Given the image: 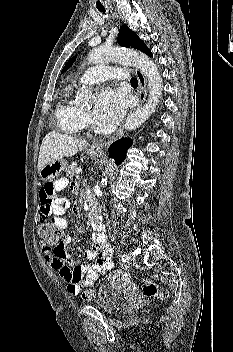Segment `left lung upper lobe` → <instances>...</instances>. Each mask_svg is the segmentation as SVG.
Listing matches in <instances>:
<instances>
[{
	"label": "left lung upper lobe",
	"mask_w": 233,
	"mask_h": 352,
	"mask_svg": "<svg viewBox=\"0 0 233 352\" xmlns=\"http://www.w3.org/2000/svg\"><path fill=\"white\" fill-rule=\"evenodd\" d=\"M117 42H118V44L120 46L127 47V48L139 49L142 52L146 53L147 55L152 56V53H151L150 49H148V47L145 45V43L138 37V35L135 32L130 30L127 27V25L121 26V28L119 30ZM75 59H76V56L71 58L66 63V65L63 68L61 73H64L65 71H67V69L70 66H72V64L74 63Z\"/></svg>",
	"instance_id": "1"
}]
</instances>
